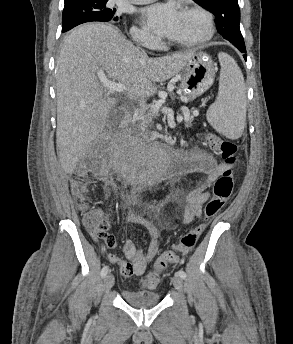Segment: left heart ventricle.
Listing matches in <instances>:
<instances>
[{"mask_svg":"<svg viewBox=\"0 0 293 344\" xmlns=\"http://www.w3.org/2000/svg\"><path fill=\"white\" fill-rule=\"evenodd\" d=\"M205 25L203 18L197 13L181 12L179 23L170 41H188L201 36Z\"/></svg>","mask_w":293,"mask_h":344,"instance_id":"obj_1","label":"left heart ventricle"}]
</instances>
